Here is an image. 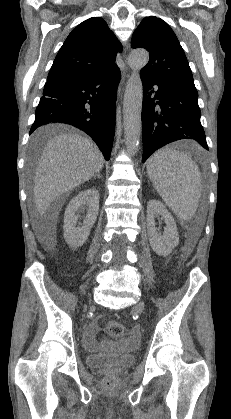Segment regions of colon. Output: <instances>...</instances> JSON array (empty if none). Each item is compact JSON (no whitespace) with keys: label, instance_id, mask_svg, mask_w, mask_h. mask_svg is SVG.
<instances>
[{"label":"colon","instance_id":"1","mask_svg":"<svg viewBox=\"0 0 231 419\" xmlns=\"http://www.w3.org/2000/svg\"><path fill=\"white\" fill-rule=\"evenodd\" d=\"M107 332L111 337L118 339L124 336L126 328L121 322L112 320L107 325ZM105 383L107 386H111L112 380L106 379Z\"/></svg>","mask_w":231,"mask_h":419}]
</instances>
